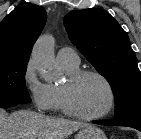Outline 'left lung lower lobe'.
<instances>
[{"label": "left lung lower lobe", "instance_id": "obj_1", "mask_svg": "<svg viewBox=\"0 0 141 139\" xmlns=\"http://www.w3.org/2000/svg\"><path fill=\"white\" fill-rule=\"evenodd\" d=\"M94 123L108 126H127L141 131V114H135L113 120H97Z\"/></svg>", "mask_w": 141, "mask_h": 139}]
</instances>
